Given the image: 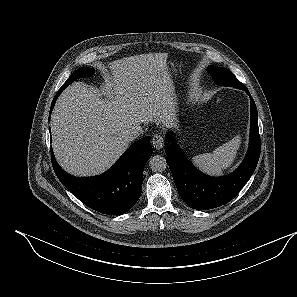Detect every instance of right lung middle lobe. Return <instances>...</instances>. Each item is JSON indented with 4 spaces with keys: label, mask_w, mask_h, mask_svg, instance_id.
Returning <instances> with one entry per match:
<instances>
[{
    "label": "right lung middle lobe",
    "mask_w": 297,
    "mask_h": 297,
    "mask_svg": "<svg viewBox=\"0 0 297 297\" xmlns=\"http://www.w3.org/2000/svg\"><path fill=\"white\" fill-rule=\"evenodd\" d=\"M95 73V70L93 68H81L75 72H73L69 79L62 85V87L66 88L69 84L74 82L77 78H83V77H90Z\"/></svg>",
    "instance_id": "obj_1"
}]
</instances>
